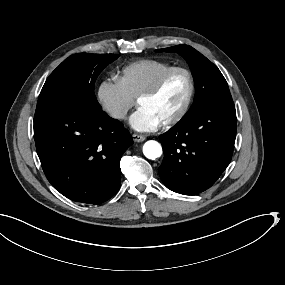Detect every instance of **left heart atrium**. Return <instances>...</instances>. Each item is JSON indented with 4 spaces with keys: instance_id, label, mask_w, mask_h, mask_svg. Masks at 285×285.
Returning a JSON list of instances; mask_svg holds the SVG:
<instances>
[{
    "instance_id": "1",
    "label": "left heart atrium",
    "mask_w": 285,
    "mask_h": 285,
    "mask_svg": "<svg viewBox=\"0 0 285 285\" xmlns=\"http://www.w3.org/2000/svg\"><path fill=\"white\" fill-rule=\"evenodd\" d=\"M160 119L144 104H140L129 119V125L138 131H148L156 128Z\"/></svg>"
}]
</instances>
